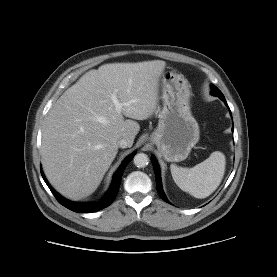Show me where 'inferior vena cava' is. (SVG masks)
Listing matches in <instances>:
<instances>
[{"mask_svg":"<svg viewBox=\"0 0 277 277\" xmlns=\"http://www.w3.org/2000/svg\"><path fill=\"white\" fill-rule=\"evenodd\" d=\"M118 146L121 147V148H126V147H129L130 146V143L127 139L125 138H122L120 139L118 142H117Z\"/></svg>","mask_w":277,"mask_h":277,"instance_id":"1","label":"inferior vena cava"}]
</instances>
